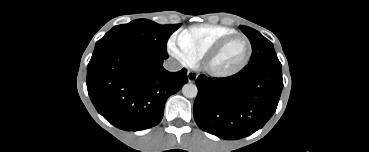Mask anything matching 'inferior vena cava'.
Wrapping results in <instances>:
<instances>
[{
  "mask_svg": "<svg viewBox=\"0 0 369 152\" xmlns=\"http://www.w3.org/2000/svg\"><path fill=\"white\" fill-rule=\"evenodd\" d=\"M164 68L170 72H177L182 69V65L178 61L168 58L164 61Z\"/></svg>",
  "mask_w": 369,
  "mask_h": 152,
  "instance_id": "1",
  "label": "inferior vena cava"
}]
</instances>
